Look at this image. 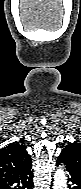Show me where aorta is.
I'll return each instance as SVG.
<instances>
[{"label": "aorta", "instance_id": "762f6f07", "mask_svg": "<svg viewBox=\"0 0 81 189\" xmlns=\"http://www.w3.org/2000/svg\"><path fill=\"white\" fill-rule=\"evenodd\" d=\"M66 175L63 168H58L54 174L53 189H67Z\"/></svg>", "mask_w": 81, "mask_h": 189}]
</instances>
